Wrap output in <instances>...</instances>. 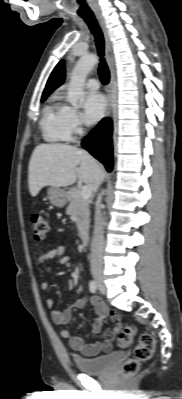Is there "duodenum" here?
I'll use <instances>...</instances> for the list:
<instances>
[{
    "label": "duodenum",
    "mask_w": 182,
    "mask_h": 399,
    "mask_svg": "<svg viewBox=\"0 0 182 399\" xmlns=\"http://www.w3.org/2000/svg\"><path fill=\"white\" fill-rule=\"evenodd\" d=\"M81 240H82L83 245H87L89 242V234L87 232H84L81 235Z\"/></svg>",
    "instance_id": "obj_1"
}]
</instances>
